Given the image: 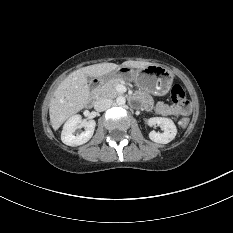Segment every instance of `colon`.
<instances>
[{"instance_id": "obj_1", "label": "colon", "mask_w": 233, "mask_h": 233, "mask_svg": "<svg viewBox=\"0 0 233 233\" xmlns=\"http://www.w3.org/2000/svg\"><path fill=\"white\" fill-rule=\"evenodd\" d=\"M170 96L172 102L177 104V106H185L187 104L185 91L180 84L173 83L171 85ZM180 124L183 128L187 127L189 124V119L187 117H183L180 120Z\"/></svg>"}]
</instances>
